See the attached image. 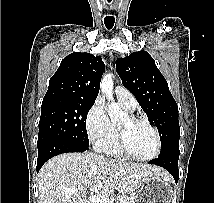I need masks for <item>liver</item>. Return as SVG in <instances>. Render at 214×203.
<instances>
[{
	"instance_id": "obj_1",
	"label": "liver",
	"mask_w": 214,
	"mask_h": 203,
	"mask_svg": "<svg viewBox=\"0 0 214 203\" xmlns=\"http://www.w3.org/2000/svg\"><path fill=\"white\" fill-rule=\"evenodd\" d=\"M154 173L167 177L159 167L111 160L92 152L61 154L39 172V203H86L87 189L100 183L105 195L130 194ZM65 189L78 193L66 195L62 193Z\"/></svg>"
}]
</instances>
